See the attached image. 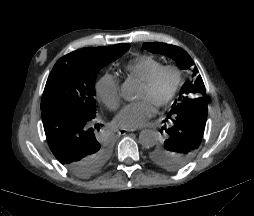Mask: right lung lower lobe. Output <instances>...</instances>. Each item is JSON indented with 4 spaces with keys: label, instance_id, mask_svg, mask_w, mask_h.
<instances>
[{
    "label": "right lung lower lobe",
    "instance_id": "98d812e1",
    "mask_svg": "<svg viewBox=\"0 0 254 216\" xmlns=\"http://www.w3.org/2000/svg\"><path fill=\"white\" fill-rule=\"evenodd\" d=\"M94 118L62 106L42 111L52 153L71 173L82 178L91 176V169L102 151V143L95 136Z\"/></svg>",
    "mask_w": 254,
    "mask_h": 216
}]
</instances>
